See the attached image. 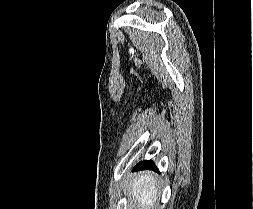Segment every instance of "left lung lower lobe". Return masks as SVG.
I'll list each match as a JSON object with an SVG mask.
<instances>
[{"mask_svg": "<svg viewBox=\"0 0 253 209\" xmlns=\"http://www.w3.org/2000/svg\"><path fill=\"white\" fill-rule=\"evenodd\" d=\"M153 170L159 173V170L157 169L155 163L152 160H143L136 164V166L133 168V171H138V170Z\"/></svg>", "mask_w": 253, "mask_h": 209, "instance_id": "1", "label": "left lung lower lobe"}]
</instances>
